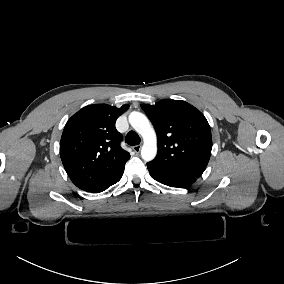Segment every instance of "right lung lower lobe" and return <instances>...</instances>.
<instances>
[{
  "label": "right lung lower lobe",
  "instance_id": "right-lung-lower-lobe-1",
  "mask_svg": "<svg viewBox=\"0 0 284 284\" xmlns=\"http://www.w3.org/2000/svg\"><path fill=\"white\" fill-rule=\"evenodd\" d=\"M123 171H124V169L119 174H117L109 183H107L106 185H104L99 190H97L93 193L102 192V191L106 190L108 187H110L111 185L117 183L121 179Z\"/></svg>",
  "mask_w": 284,
  "mask_h": 284
}]
</instances>
